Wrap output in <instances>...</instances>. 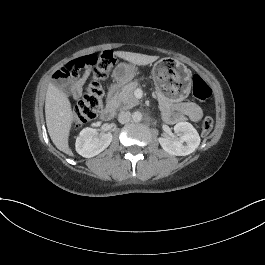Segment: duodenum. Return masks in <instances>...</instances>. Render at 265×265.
Segmentation results:
<instances>
[{
    "label": "duodenum",
    "mask_w": 265,
    "mask_h": 265,
    "mask_svg": "<svg viewBox=\"0 0 265 265\" xmlns=\"http://www.w3.org/2000/svg\"><path fill=\"white\" fill-rule=\"evenodd\" d=\"M115 91H116V87H112L109 91L106 105L102 111V118L104 120H110L115 115V112H116L115 101H114Z\"/></svg>",
    "instance_id": "duodenum-1"
}]
</instances>
